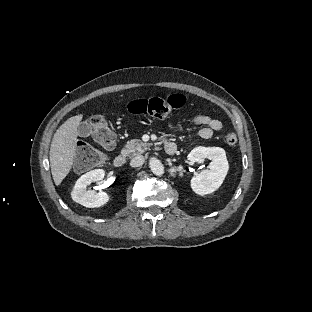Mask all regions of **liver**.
I'll list each match as a JSON object with an SVG mask.
<instances>
[{
	"label": "liver",
	"instance_id": "6515ba94",
	"mask_svg": "<svg viewBox=\"0 0 312 312\" xmlns=\"http://www.w3.org/2000/svg\"><path fill=\"white\" fill-rule=\"evenodd\" d=\"M84 114L67 119L56 131L50 147V168L56 186L66 178L72 169L78 142V126Z\"/></svg>",
	"mask_w": 312,
	"mask_h": 312
}]
</instances>
